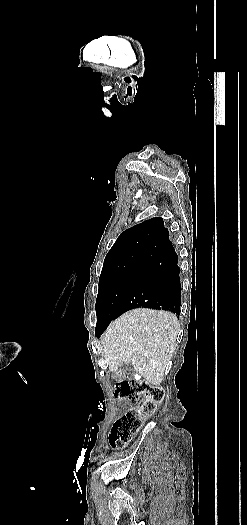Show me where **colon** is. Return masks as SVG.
I'll return each mask as SVG.
<instances>
[{
	"label": "colon",
	"instance_id": "5ec220e1",
	"mask_svg": "<svg viewBox=\"0 0 247 525\" xmlns=\"http://www.w3.org/2000/svg\"><path fill=\"white\" fill-rule=\"evenodd\" d=\"M115 397L129 403L139 401L136 406L127 409L113 425L109 442L114 449H119L154 414L164 398V390L146 381L124 379L116 384Z\"/></svg>",
	"mask_w": 247,
	"mask_h": 525
}]
</instances>
